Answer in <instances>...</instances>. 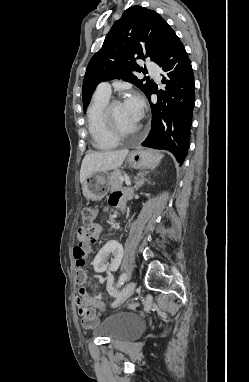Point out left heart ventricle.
I'll list each match as a JSON object with an SVG mask.
<instances>
[{
  "instance_id": "1",
  "label": "left heart ventricle",
  "mask_w": 249,
  "mask_h": 382,
  "mask_svg": "<svg viewBox=\"0 0 249 382\" xmlns=\"http://www.w3.org/2000/svg\"><path fill=\"white\" fill-rule=\"evenodd\" d=\"M113 118L116 126L123 132H132L139 125V121L134 118L131 112L125 107L124 103L114 107Z\"/></svg>"
}]
</instances>
